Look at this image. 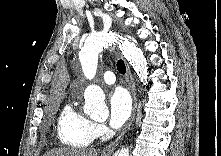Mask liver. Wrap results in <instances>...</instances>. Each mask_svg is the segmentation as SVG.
Segmentation results:
<instances>
[{
    "label": "liver",
    "instance_id": "obj_1",
    "mask_svg": "<svg viewBox=\"0 0 221 156\" xmlns=\"http://www.w3.org/2000/svg\"><path fill=\"white\" fill-rule=\"evenodd\" d=\"M44 156H98L94 149L59 148L47 151Z\"/></svg>",
    "mask_w": 221,
    "mask_h": 156
}]
</instances>
